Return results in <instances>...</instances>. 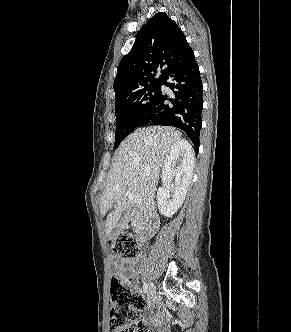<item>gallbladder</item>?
Wrapping results in <instances>:
<instances>
[{
  "instance_id": "bac80fb5",
  "label": "gallbladder",
  "mask_w": 291,
  "mask_h": 332,
  "mask_svg": "<svg viewBox=\"0 0 291 332\" xmlns=\"http://www.w3.org/2000/svg\"><path fill=\"white\" fill-rule=\"evenodd\" d=\"M128 228V222L125 218H122V220L114 227L113 231L111 232V235H117L121 231Z\"/></svg>"
}]
</instances>
